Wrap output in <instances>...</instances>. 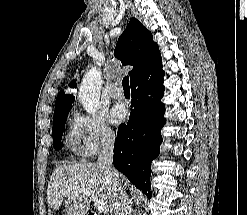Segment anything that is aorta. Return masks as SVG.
I'll return each instance as SVG.
<instances>
[{
    "mask_svg": "<svg viewBox=\"0 0 247 215\" xmlns=\"http://www.w3.org/2000/svg\"><path fill=\"white\" fill-rule=\"evenodd\" d=\"M101 83V72L96 68L90 69L82 79L78 98L88 114H94L99 109Z\"/></svg>",
    "mask_w": 247,
    "mask_h": 215,
    "instance_id": "obj_1",
    "label": "aorta"
}]
</instances>
